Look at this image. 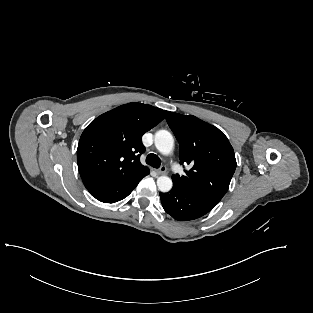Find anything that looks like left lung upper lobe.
Instances as JSON below:
<instances>
[{
  "mask_svg": "<svg viewBox=\"0 0 313 313\" xmlns=\"http://www.w3.org/2000/svg\"><path fill=\"white\" fill-rule=\"evenodd\" d=\"M166 120L180 145V163L191 166L173 184L213 203L228 190L236 169L234 150L222 131L195 116L166 111Z\"/></svg>",
  "mask_w": 313,
  "mask_h": 313,
  "instance_id": "5c2ea615",
  "label": "left lung upper lobe"
}]
</instances>
